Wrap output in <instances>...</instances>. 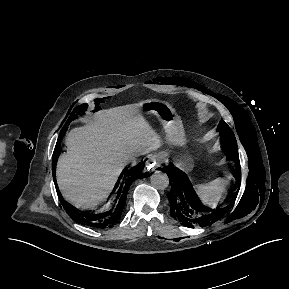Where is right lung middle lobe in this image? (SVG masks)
I'll return each mask as SVG.
<instances>
[{
	"label": "right lung middle lobe",
	"mask_w": 289,
	"mask_h": 289,
	"mask_svg": "<svg viewBox=\"0 0 289 289\" xmlns=\"http://www.w3.org/2000/svg\"><path fill=\"white\" fill-rule=\"evenodd\" d=\"M87 106L88 105L85 103V104H82L80 106L75 107L74 110L72 111L70 117L68 118L66 124L64 125V127H68L69 123L72 120L76 119L78 117V115H83L84 111H86V109H87Z\"/></svg>",
	"instance_id": "dd1d6c3e"
}]
</instances>
